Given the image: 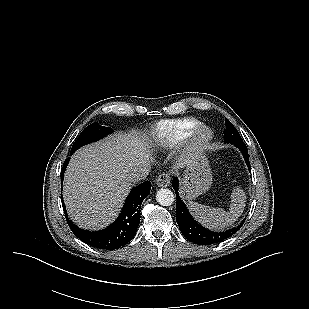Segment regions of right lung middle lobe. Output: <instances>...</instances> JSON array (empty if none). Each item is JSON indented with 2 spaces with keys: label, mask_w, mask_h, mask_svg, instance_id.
Listing matches in <instances>:
<instances>
[{
  "label": "right lung middle lobe",
  "mask_w": 309,
  "mask_h": 309,
  "mask_svg": "<svg viewBox=\"0 0 309 309\" xmlns=\"http://www.w3.org/2000/svg\"><path fill=\"white\" fill-rule=\"evenodd\" d=\"M112 132L113 130L110 127H103L97 123L90 124L82 131L78 139L74 142L71 151L75 152L79 147L95 142Z\"/></svg>",
  "instance_id": "1"
}]
</instances>
